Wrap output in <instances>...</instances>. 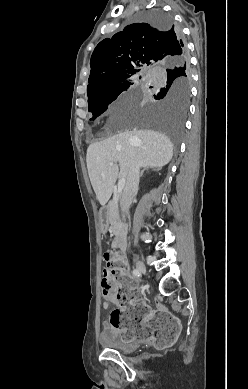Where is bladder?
Wrapping results in <instances>:
<instances>
[{
  "label": "bladder",
  "mask_w": 248,
  "mask_h": 389,
  "mask_svg": "<svg viewBox=\"0 0 248 389\" xmlns=\"http://www.w3.org/2000/svg\"><path fill=\"white\" fill-rule=\"evenodd\" d=\"M100 343L106 348L116 350L120 353H132L140 347L137 341L124 340L122 333L119 331L102 332Z\"/></svg>",
  "instance_id": "31cf9c89"
}]
</instances>
